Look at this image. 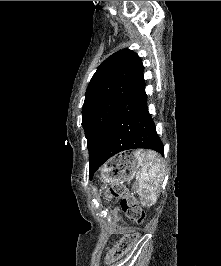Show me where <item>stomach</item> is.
<instances>
[{"mask_svg":"<svg viewBox=\"0 0 221 266\" xmlns=\"http://www.w3.org/2000/svg\"><path fill=\"white\" fill-rule=\"evenodd\" d=\"M139 167L134 153L125 152L110 159L102 168L101 175L109 184L129 182L138 173Z\"/></svg>","mask_w":221,"mask_h":266,"instance_id":"1","label":"stomach"}]
</instances>
